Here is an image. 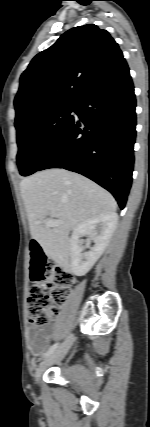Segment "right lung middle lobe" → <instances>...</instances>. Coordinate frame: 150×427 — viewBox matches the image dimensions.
<instances>
[{"label":"right lung middle lobe","instance_id":"dd1d6c3e","mask_svg":"<svg viewBox=\"0 0 150 427\" xmlns=\"http://www.w3.org/2000/svg\"><path fill=\"white\" fill-rule=\"evenodd\" d=\"M76 105H55L34 110L16 120L20 174L36 172L54 145L68 129Z\"/></svg>","mask_w":150,"mask_h":427}]
</instances>
